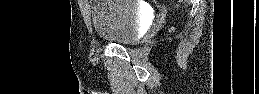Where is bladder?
I'll use <instances>...</instances> for the list:
<instances>
[{
  "instance_id": "obj_1",
  "label": "bladder",
  "mask_w": 259,
  "mask_h": 94,
  "mask_svg": "<svg viewBox=\"0 0 259 94\" xmlns=\"http://www.w3.org/2000/svg\"><path fill=\"white\" fill-rule=\"evenodd\" d=\"M91 18L95 33L103 40L127 45L142 35L143 14L133 1H93Z\"/></svg>"
}]
</instances>
